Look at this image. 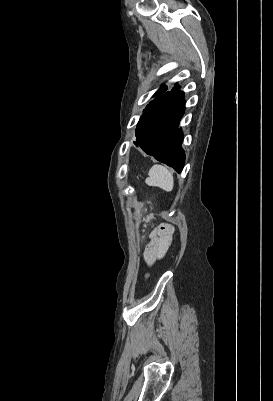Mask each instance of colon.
Masks as SVG:
<instances>
[{
  "instance_id": "1",
  "label": "colon",
  "mask_w": 273,
  "mask_h": 401,
  "mask_svg": "<svg viewBox=\"0 0 273 401\" xmlns=\"http://www.w3.org/2000/svg\"><path fill=\"white\" fill-rule=\"evenodd\" d=\"M169 227L165 224H162L156 228V232L153 234V236L156 238L157 236H161L162 234H165V239L166 240H171L172 239V234L168 233Z\"/></svg>"
}]
</instances>
